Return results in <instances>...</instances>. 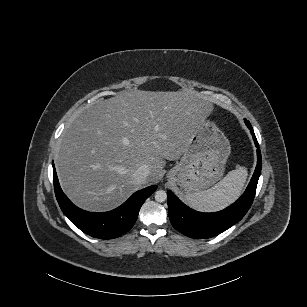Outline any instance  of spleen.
Here are the masks:
<instances>
[{
    "mask_svg": "<svg viewBox=\"0 0 307 307\" xmlns=\"http://www.w3.org/2000/svg\"><path fill=\"white\" fill-rule=\"evenodd\" d=\"M248 176L246 167L239 166L210 189L188 193L186 202L196 210L204 212L219 211L235 202L242 193Z\"/></svg>",
    "mask_w": 307,
    "mask_h": 307,
    "instance_id": "1",
    "label": "spleen"
}]
</instances>
